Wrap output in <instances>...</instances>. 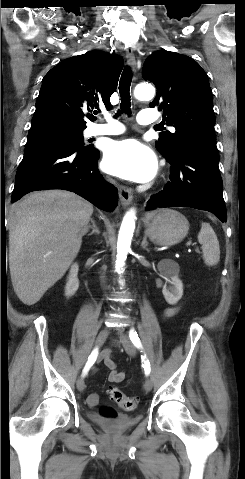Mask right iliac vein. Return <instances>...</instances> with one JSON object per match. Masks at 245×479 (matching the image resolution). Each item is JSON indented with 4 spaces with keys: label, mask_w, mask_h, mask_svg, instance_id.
<instances>
[{
    "label": "right iliac vein",
    "mask_w": 245,
    "mask_h": 479,
    "mask_svg": "<svg viewBox=\"0 0 245 479\" xmlns=\"http://www.w3.org/2000/svg\"><path fill=\"white\" fill-rule=\"evenodd\" d=\"M108 335H109V330L107 328H104L103 330H101L96 338L95 346L100 347L104 343ZM77 388L79 391H84L85 389V383L82 377H79L77 380Z\"/></svg>",
    "instance_id": "right-iliac-vein-1"
}]
</instances>
